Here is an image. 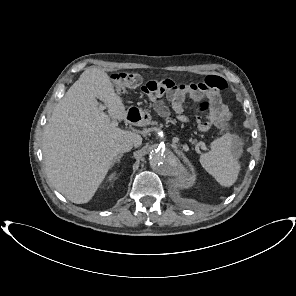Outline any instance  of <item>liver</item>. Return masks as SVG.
<instances>
[{
	"mask_svg": "<svg viewBox=\"0 0 296 296\" xmlns=\"http://www.w3.org/2000/svg\"><path fill=\"white\" fill-rule=\"evenodd\" d=\"M97 99L108 107L103 112ZM127 117L122 98L109 75L89 67L57 103L44 130L46 173L57 191L76 204L87 203L107 175L123 139L141 144V136L112 126L110 117Z\"/></svg>",
	"mask_w": 296,
	"mask_h": 296,
	"instance_id": "liver-1",
	"label": "liver"
}]
</instances>
